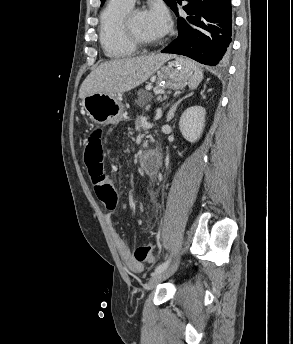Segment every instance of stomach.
Masks as SVG:
<instances>
[{"instance_id": "0dacf381", "label": "stomach", "mask_w": 293, "mask_h": 344, "mask_svg": "<svg viewBox=\"0 0 293 344\" xmlns=\"http://www.w3.org/2000/svg\"><path fill=\"white\" fill-rule=\"evenodd\" d=\"M192 77V68L184 59L169 61L153 75L157 88L178 90ZM82 106L90 119L97 124H114L124 118V107L119 94L94 93L82 100Z\"/></svg>"}]
</instances>
